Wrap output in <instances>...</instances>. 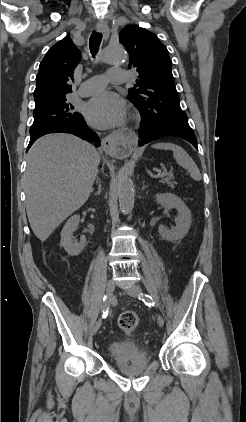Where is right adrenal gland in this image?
<instances>
[{
  "label": "right adrenal gland",
  "instance_id": "right-adrenal-gland-1",
  "mask_svg": "<svg viewBox=\"0 0 246 422\" xmlns=\"http://www.w3.org/2000/svg\"><path fill=\"white\" fill-rule=\"evenodd\" d=\"M97 183H98V190L94 193V195H100L101 190H102L100 180H98ZM91 192H93V190Z\"/></svg>",
  "mask_w": 246,
  "mask_h": 422
}]
</instances>
